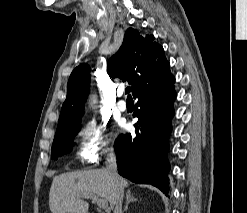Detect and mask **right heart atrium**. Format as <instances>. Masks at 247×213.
<instances>
[{
  "label": "right heart atrium",
  "mask_w": 247,
  "mask_h": 213,
  "mask_svg": "<svg viewBox=\"0 0 247 213\" xmlns=\"http://www.w3.org/2000/svg\"><path fill=\"white\" fill-rule=\"evenodd\" d=\"M78 157L88 163L96 164L104 155L113 153L112 134L106 124L95 121L86 122L79 131Z\"/></svg>",
  "instance_id": "1"
}]
</instances>
